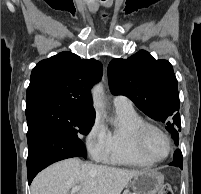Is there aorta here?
<instances>
[{
    "label": "aorta",
    "mask_w": 201,
    "mask_h": 194,
    "mask_svg": "<svg viewBox=\"0 0 201 194\" xmlns=\"http://www.w3.org/2000/svg\"><path fill=\"white\" fill-rule=\"evenodd\" d=\"M94 107L98 110L103 109V88L100 84L95 85L92 89Z\"/></svg>",
    "instance_id": "1"
}]
</instances>
